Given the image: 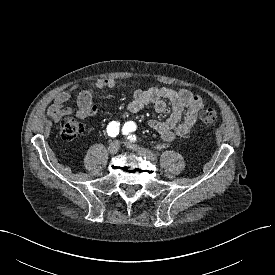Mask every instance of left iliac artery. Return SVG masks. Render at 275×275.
<instances>
[{"mask_svg": "<svg viewBox=\"0 0 275 275\" xmlns=\"http://www.w3.org/2000/svg\"><path fill=\"white\" fill-rule=\"evenodd\" d=\"M136 130V125L134 122L132 121H128L124 124L123 126V134L127 135L128 139L135 142L136 141V136L135 135H132L130 134L131 132L135 131ZM161 148V147H160Z\"/></svg>", "mask_w": 275, "mask_h": 275, "instance_id": "left-iliac-artery-1", "label": "left iliac artery"}]
</instances>
